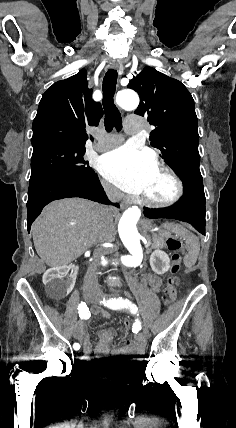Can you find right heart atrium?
Wrapping results in <instances>:
<instances>
[{"label":"right heart atrium","mask_w":236,"mask_h":428,"mask_svg":"<svg viewBox=\"0 0 236 428\" xmlns=\"http://www.w3.org/2000/svg\"><path fill=\"white\" fill-rule=\"evenodd\" d=\"M100 187L103 194L111 200L120 199L122 197L121 193L115 187L104 180H100Z\"/></svg>","instance_id":"obj_1"}]
</instances>
